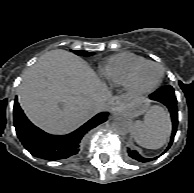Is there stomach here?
Instances as JSON below:
<instances>
[{
  "mask_svg": "<svg viewBox=\"0 0 194 193\" xmlns=\"http://www.w3.org/2000/svg\"><path fill=\"white\" fill-rule=\"evenodd\" d=\"M118 110L129 117H137L148 109V102L144 98H136L131 102L120 101Z\"/></svg>",
  "mask_w": 194,
  "mask_h": 193,
  "instance_id": "stomach-1",
  "label": "stomach"
}]
</instances>
